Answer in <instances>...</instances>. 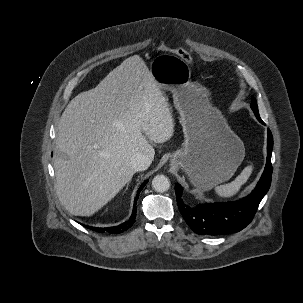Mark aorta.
I'll use <instances>...</instances> for the list:
<instances>
[{
  "instance_id": "1",
  "label": "aorta",
  "mask_w": 303,
  "mask_h": 303,
  "mask_svg": "<svg viewBox=\"0 0 303 303\" xmlns=\"http://www.w3.org/2000/svg\"><path fill=\"white\" fill-rule=\"evenodd\" d=\"M152 187L157 192H166L170 188V181L165 175H157L152 180Z\"/></svg>"
}]
</instances>
